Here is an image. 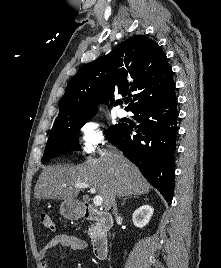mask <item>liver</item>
I'll list each match as a JSON object with an SVG mask.
<instances>
[{
	"label": "liver",
	"mask_w": 221,
	"mask_h": 268,
	"mask_svg": "<svg viewBox=\"0 0 221 268\" xmlns=\"http://www.w3.org/2000/svg\"><path fill=\"white\" fill-rule=\"evenodd\" d=\"M76 183L94 187L108 211L116 197L148 193L150 184L139 169L117 150H103L100 158L88 157L75 167L48 166L40 174L34 189L37 199L73 201L80 189Z\"/></svg>",
	"instance_id": "obj_1"
}]
</instances>
